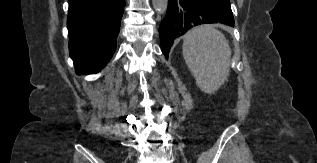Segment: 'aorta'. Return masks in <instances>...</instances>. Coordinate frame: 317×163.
<instances>
[{"instance_id": "762f6f07", "label": "aorta", "mask_w": 317, "mask_h": 163, "mask_svg": "<svg viewBox=\"0 0 317 163\" xmlns=\"http://www.w3.org/2000/svg\"><path fill=\"white\" fill-rule=\"evenodd\" d=\"M152 4L158 14H164L168 7V0H152Z\"/></svg>"}]
</instances>
